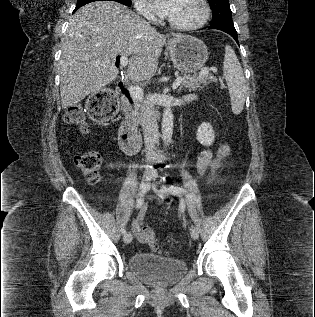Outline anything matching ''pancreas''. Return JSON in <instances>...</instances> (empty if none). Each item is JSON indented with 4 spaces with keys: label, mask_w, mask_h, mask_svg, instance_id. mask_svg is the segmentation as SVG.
<instances>
[{
    "label": "pancreas",
    "mask_w": 315,
    "mask_h": 317,
    "mask_svg": "<svg viewBox=\"0 0 315 317\" xmlns=\"http://www.w3.org/2000/svg\"><path fill=\"white\" fill-rule=\"evenodd\" d=\"M212 82H217V78L212 75V74H207L203 77L200 76H190V75H184L182 77V82L180 85V89L179 91H181L182 89H189L190 91H196L198 88H201L202 84L203 85H207L209 83ZM134 104H135V108H136V113L135 115H132L129 110H127L125 112L126 116L129 117L130 119H136V117L139 115V109L141 107V99H136L134 98Z\"/></svg>",
    "instance_id": "pancreas-1"
}]
</instances>
